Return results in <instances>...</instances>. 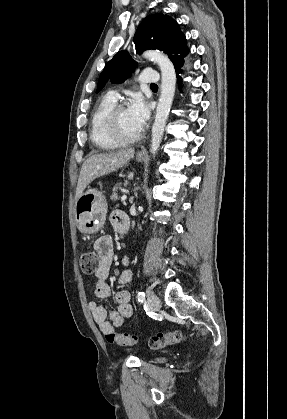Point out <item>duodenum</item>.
Masks as SVG:
<instances>
[{
  "mask_svg": "<svg viewBox=\"0 0 287 419\" xmlns=\"http://www.w3.org/2000/svg\"><path fill=\"white\" fill-rule=\"evenodd\" d=\"M128 228H129L128 226H124L120 229V232L121 233H126L128 231Z\"/></svg>",
  "mask_w": 287,
  "mask_h": 419,
  "instance_id": "duodenum-1",
  "label": "duodenum"
}]
</instances>
